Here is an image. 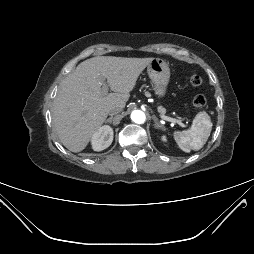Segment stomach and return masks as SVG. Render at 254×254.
<instances>
[{"label":"stomach","instance_id":"0dacf381","mask_svg":"<svg viewBox=\"0 0 254 254\" xmlns=\"http://www.w3.org/2000/svg\"><path fill=\"white\" fill-rule=\"evenodd\" d=\"M147 73L153 83L155 94L162 98L165 96L170 79V69L164 60L153 58L147 65Z\"/></svg>","mask_w":254,"mask_h":254}]
</instances>
